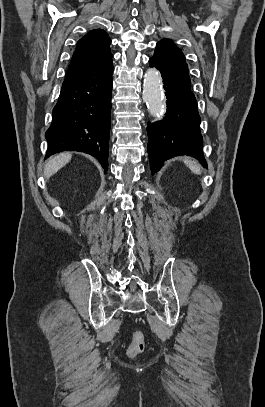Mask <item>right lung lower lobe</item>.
Returning a JSON list of instances; mask_svg holds the SVG:
<instances>
[{"mask_svg":"<svg viewBox=\"0 0 265 407\" xmlns=\"http://www.w3.org/2000/svg\"><path fill=\"white\" fill-rule=\"evenodd\" d=\"M110 53L102 59L66 75L53 120L46 131V158L62 151L94 156L108 169L111 121L112 64Z\"/></svg>","mask_w":265,"mask_h":407,"instance_id":"obj_1","label":"right lung lower lobe"}]
</instances>
